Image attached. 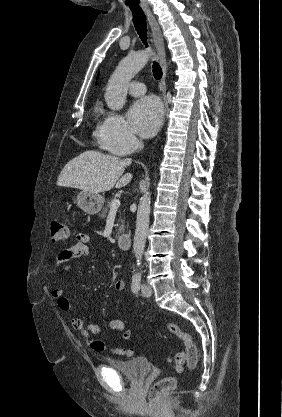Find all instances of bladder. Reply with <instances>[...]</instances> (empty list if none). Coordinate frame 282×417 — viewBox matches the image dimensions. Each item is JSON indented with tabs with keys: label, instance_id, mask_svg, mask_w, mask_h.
<instances>
[{
	"label": "bladder",
	"instance_id": "bladder-1",
	"mask_svg": "<svg viewBox=\"0 0 282 417\" xmlns=\"http://www.w3.org/2000/svg\"><path fill=\"white\" fill-rule=\"evenodd\" d=\"M105 362L134 384L142 383L151 371V362L141 356L126 359L107 358Z\"/></svg>",
	"mask_w": 282,
	"mask_h": 417
}]
</instances>
